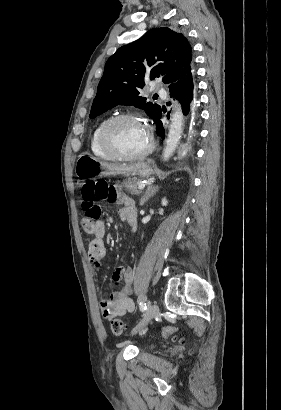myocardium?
Returning a JSON list of instances; mask_svg holds the SVG:
<instances>
[{"label":"myocardium","mask_w":281,"mask_h":410,"mask_svg":"<svg viewBox=\"0 0 281 410\" xmlns=\"http://www.w3.org/2000/svg\"><path fill=\"white\" fill-rule=\"evenodd\" d=\"M125 120L139 122L145 127V129L148 133V137H149V144L141 152L134 153V154H126V153H123V152L119 151L112 144V142H111V132H112L113 128L119 122L125 121ZM100 145H101L102 149L108 155H110L113 159H117V160H135V159L144 158L147 155H149L153 151L155 143H154V139H153L151 133L148 131L146 125L143 123V121L140 118H138L137 116H135L133 114H130V113H122V114H118V115L112 117L105 124V126L103 127V129L100 133Z\"/></svg>","instance_id":"f54148a6"}]
</instances>
